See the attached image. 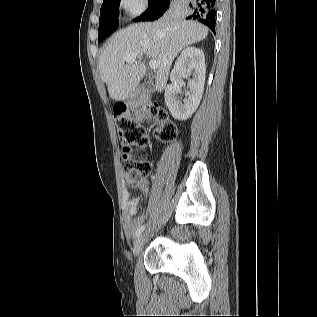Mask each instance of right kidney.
I'll use <instances>...</instances> for the list:
<instances>
[{
    "label": "right kidney",
    "mask_w": 317,
    "mask_h": 317,
    "mask_svg": "<svg viewBox=\"0 0 317 317\" xmlns=\"http://www.w3.org/2000/svg\"><path fill=\"white\" fill-rule=\"evenodd\" d=\"M205 57L201 49L196 47L185 48L170 74L171 85L165 89V103L171 115L177 120H186L196 111L203 95L205 84ZM192 75L188 80L189 92L185 94L183 103L178 97L183 85L182 77Z\"/></svg>",
    "instance_id": "1"
}]
</instances>
